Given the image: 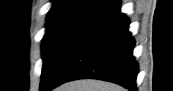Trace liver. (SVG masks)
<instances>
[{"instance_id": "1", "label": "liver", "mask_w": 173, "mask_h": 91, "mask_svg": "<svg viewBox=\"0 0 173 91\" xmlns=\"http://www.w3.org/2000/svg\"><path fill=\"white\" fill-rule=\"evenodd\" d=\"M54 91H125L124 88L99 80H77L62 84Z\"/></svg>"}]
</instances>
